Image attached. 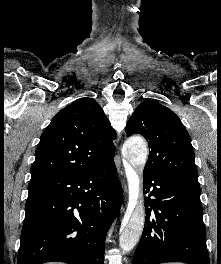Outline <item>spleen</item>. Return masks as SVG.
<instances>
[{
    "label": "spleen",
    "instance_id": "obj_1",
    "mask_svg": "<svg viewBox=\"0 0 221 264\" xmlns=\"http://www.w3.org/2000/svg\"><path fill=\"white\" fill-rule=\"evenodd\" d=\"M168 264H183V263H168Z\"/></svg>",
    "mask_w": 221,
    "mask_h": 264
}]
</instances>
